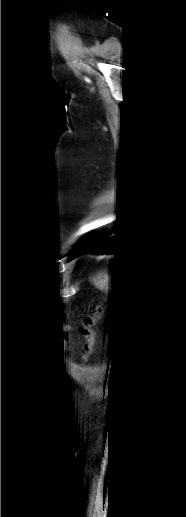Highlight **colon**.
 Masks as SVG:
<instances>
[{"instance_id":"5ec220e1","label":"colon","mask_w":186,"mask_h":517,"mask_svg":"<svg viewBox=\"0 0 186 517\" xmlns=\"http://www.w3.org/2000/svg\"><path fill=\"white\" fill-rule=\"evenodd\" d=\"M102 316V309H97L94 313L88 314L83 318L80 331L85 339L83 359L87 360L94 350L95 345V326Z\"/></svg>"}]
</instances>
